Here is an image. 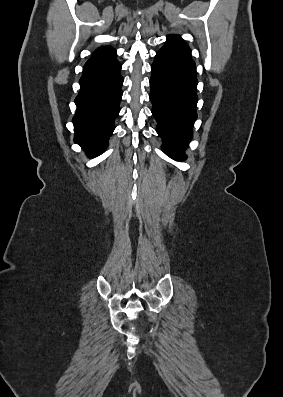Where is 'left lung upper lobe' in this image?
Wrapping results in <instances>:
<instances>
[{
	"label": "left lung upper lobe",
	"mask_w": 283,
	"mask_h": 397,
	"mask_svg": "<svg viewBox=\"0 0 283 397\" xmlns=\"http://www.w3.org/2000/svg\"><path fill=\"white\" fill-rule=\"evenodd\" d=\"M167 45H170L185 54L187 57L191 58V49L185 43V41L178 35H169L167 37Z\"/></svg>",
	"instance_id": "5c2ea615"
}]
</instances>
